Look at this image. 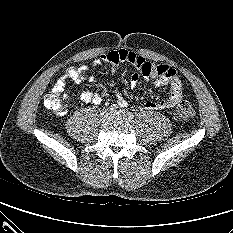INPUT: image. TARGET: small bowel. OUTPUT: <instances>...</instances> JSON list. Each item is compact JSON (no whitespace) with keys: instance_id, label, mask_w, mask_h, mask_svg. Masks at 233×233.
I'll return each instance as SVG.
<instances>
[{"instance_id":"small-bowel-1","label":"small bowel","mask_w":233,"mask_h":233,"mask_svg":"<svg viewBox=\"0 0 233 233\" xmlns=\"http://www.w3.org/2000/svg\"><path fill=\"white\" fill-rule=\"evenodd\" d=\"M102 63H108L113 68H117L122 63L131 64L134 67V72L129 79L131 88H135L138 85L140 78L150 81L155 87L170 86L168 98L160 101H147L144 104L147 110L161 111L172 109L182 99L181 80L176 70L168 65L150 63L144 57L126 49L104 53L100 58L93 61L92 66L96 67ZM92 78L87 66L70 67L66 69L64 74L58 79L53 89L62 93L66 88L67 82L80 84L86 80H92ZM80 99L84 103H92L94 105H99L102 102V96L91 91H83L80 94ZM117 103L122 107L126 105V101L122 97H118ZM64 113L65 112L62 114Z\"/></svg>"}]
</instances>
